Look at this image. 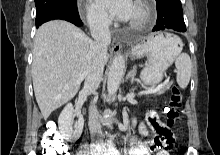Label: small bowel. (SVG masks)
<instances>
[{"mask_svg":"<svg viewBox=\"0 0 220 155\" xmlns=\"http://www.w3.org/2000/svg\"><path fill=\"white\" fill-rule=\"evenodd\" d=\"M161 123L162 122L158 119L157 115L152 112L148 115L146 124L141 123L139 125V131L143 136H147L149 133L147 126H149L155 132V125Z\"/></svg>","mask_w":220,"mask_h":155,"instance_id":"obj_1","label":"small bowel"}]
</instances>
